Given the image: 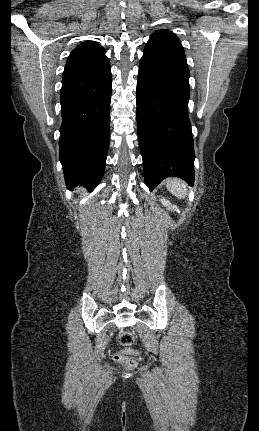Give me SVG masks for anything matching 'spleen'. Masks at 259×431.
<instances>
[{"mask_svg": "<svg viewBox=\"0 0 259 431\" xmlns=\"http://www.w3.org/2000/svg\"><path fill=\"white\" fill-rule=\"evenodd\" d=\"M166 187L169 192L180 199H184L187 195V187L184 181L178 178H169L166 180Z\"/></svg>", "mask_w": 259, "mask_h": 431, "instance_id": "1", "label": "spleen"}]
</instances>
